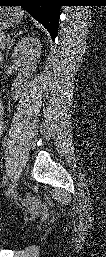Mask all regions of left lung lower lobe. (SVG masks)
Returning a JSON list of instances; mask_svg holds the SVG:
<instances>
[{
    "instance_id": "0a47b994",
    "label": "left lung lower lobe",
    "mask_w": 106,
    "mask_h": 257,
    "mask_svg": "<svg viewBox=\"0 0 106 257\" xmlns=\"http://www.w3.org/2000/svg\"><path fill=\"white\" fill-rule=\"evenodd\" d=\"M0 5L23 7L32 17L42 23L52 39H55L60 15L58 0H0Z\"/></svg>"
}]
</instances>
